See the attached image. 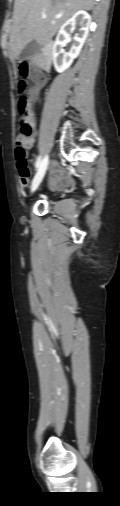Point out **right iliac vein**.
Listing matches in <instances>:
<instances>
[{"instance_id":"obj_1","label":"right iliac vein","mask_w":120,"mask_h":506,"mask_svg":"<svg viewBox=\"0 0 120 506\" xmlns=\"http://www.w3.org/2000/svg\"><path fill=\"white\" fill-rule=\"evenodd\" d=\"M44 161L49 162L48 156H46V157L43 159V161H42V162H44ZM47 166H48V165H47ZM46 170H47V168L45 169V171H43V168H42V167L39 169V171L37 172V174H36V176H35V178H34V180H33V182H32L31 192H34V191L37 189V187L40 185V183H41V181H42V179H43V177H44V175H45V173H46ZM40 173H43V176H42V177H40V176H39V174H40Z\"/></svg>"}]
</instances>
